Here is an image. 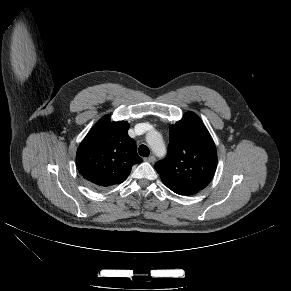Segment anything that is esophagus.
<instances>
[{
	"label": "esophagus",
	"instance_id": "esophagus-1",
	"mask_svg": "<svg viewBox=\"0 0 291 291\" xmlns=\"http://www.w3.org/2000/svg\"><path fill=\"white\" fill-rule=\"evenodd\" d=\"M144 160L146 162H149V163H154L155 162V157L153 155L147 157V158H144Z\"/></svg>",
	"mask_w": 291,
	"mask_h": 291
}]
</instances>
